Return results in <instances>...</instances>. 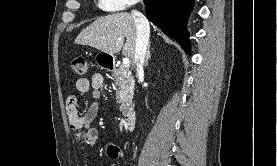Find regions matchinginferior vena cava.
Here are the masks:
<instances>
[{"label":"inferior vena cava","mask_w":277,"mask_h":166,"mask_svg":"<svg viewBox=\"0 0 277 166\" xmlns=\"http://www.w3.org/2000/svg\"><path fill=\"white\" fill-rule=\"evenodd\" d=\"M138 1L139 0H135L134 4L137 3ZM131 14L134 18V22L137 29L136 44H135V60H136L137 73H143V66H144L145 56H146L147 47L149 43L150 26H149L148 20L142 13L136 10H132Z\"/></svg>","instance_id":"obj_1"}]
</instances>
